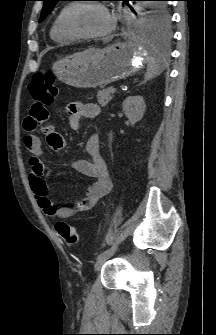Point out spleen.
I'll list each match as a JSON object with an SVG mask.
<instances>
[{
    "instance_id": "spleen-1",
    "label": "spleen",
    "mask_w": 216,
    "mask_h": 335,
    "mask_svg": "<svg viewBox=\"0 0 216 335\" xmlns=\"http://www.w3.org/2000/svg\"><path fill=\"white\" fill-rule=\"evenodd\" d=\"M164 69L163 59L159 53L152 49L149 54L147 72L145 74V80H150L158 76Z\"/></svg>"
}]
</instances>
